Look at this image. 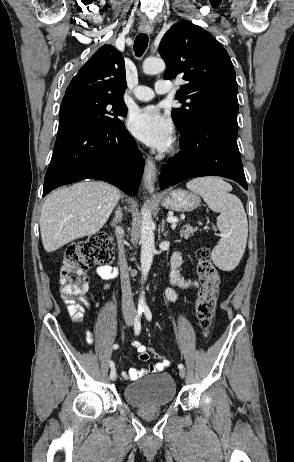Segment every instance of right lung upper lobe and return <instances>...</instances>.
Segmentation results:
<instances>
[{
	"mask_svg": "<svg viewBox=\"0 0 294 462\" xmlns=\"http://www.w3.org/2000/svg\"><path fill=\"white\" fill-rule=\"evenodd\" d=\"M126 86L123 56L115 47L105 44L73 77L64 98L91 94L122 99Z\"/></svg>",
	"mask_w": 294,
	"mask_h": 462,
	"instance_id": "cb5924a9",
	"label": "right lung upper lobe"
}]
</instances>
